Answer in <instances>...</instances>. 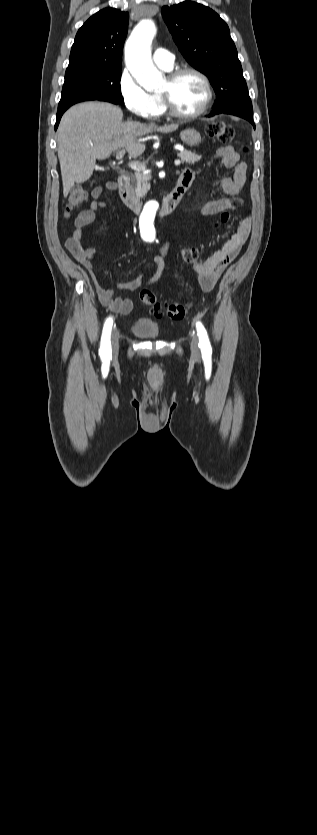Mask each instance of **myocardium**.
I'll return each mask as SVG.
<instances>
[{
    "label": "myocardium",
    "instance_id": "obj_1",
    "mask_svg": "<svg viewBox=\"0 0 317 835\" xmlns=\"http://www.w3.org/2000/svg\"><path fill=\"white\" fill-rule=\"evenodd\" d=\"M185 74L196 75L197 77L200 78V80L202 81V83L204 85L206 95H205V98H204L201 106L199 107V109H197L196 111H194L192 113H183L175 107V105L172 101L171 95L168 92H161L160 96H161V98L164 102L166 110L168 111V113L171 116H173L175 118H179V119H194V118H197V117L201 116L208 109V107H209V105H210V103L213 99V88H212L210 79L208 78V76L205 73H203L201 70H199L197 68L190 67V66L181 67V68H178V69H175V70L171 71L168 74L167 78H168L170 83H174L178 78H180L181 76H183Z\"/></svg>",
    "mask_w": 317,
    "mask_h": 835
}]
</instances>
